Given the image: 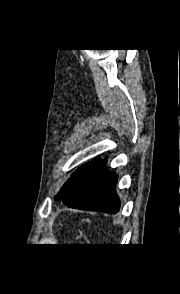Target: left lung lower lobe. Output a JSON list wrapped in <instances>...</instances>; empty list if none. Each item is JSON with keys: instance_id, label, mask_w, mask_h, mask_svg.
<instances>
[{"instance_id": "0a47b994", "label": "left lung lower lobe", "mask_w": 180, "mask_h": 294, "mask_svg": "<svg viewBox=\"0 0 180 294\" xmlns=\"http://www.w3.org/2000/svg\"><path fill=\"white\" fill-rule=\"evenodd\" d=\"M107 159L95 158L73 182L62 199L71 208L117 213L120 201L115 191L117 176L106 168Z\"/></svg>"}]
</instances>
